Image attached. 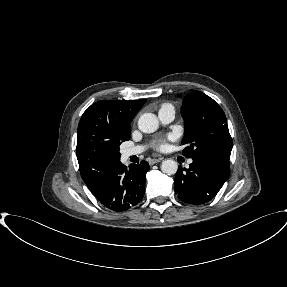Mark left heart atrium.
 I'll list each match as a JSON object with an SVG mask.
<instances>
[{"label": "left heart atrium", "instance_id": "39dd6f15", "mask_svg": "<svg viewBox=\"0 0 287 287\" xmlns=\"http://www.w3.org/2000/svg\"><path fill=\"white\" fill-rule=\"evenodd\" d=\"M174 137L172 135H169L167 137H164V138H161L159 140L156 141L155 143V147L158 149V150H164L166 148V143L167 141L169 140H173Z\"/></svg>", "mask_w": 287, "mask_h": 287}]
</instances>
